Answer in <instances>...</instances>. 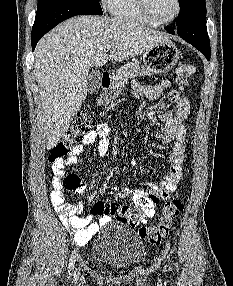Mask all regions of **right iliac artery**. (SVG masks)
<instances>
[{
  "label": "right iliac artery",
  "instance_id": "obj_1",
  "mask_svg": "<svg viewBox=\"0 0 233 286\" xmlns=\"http://www.w3.org/2000/svg\"><path fill=\"white\" fill-rule=\"evenodd\" d=\"M76 253H77V250H74L72 255H71V258H70V262H69V275L72 274V271L74 269V264H75V261H76Z\"/></svg>",
  "mask_w": 233,
  "mask_h": 286
}]
</instances>
